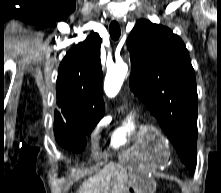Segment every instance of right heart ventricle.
Segmentation results:
<instances>
[{
	"label": "right heart ventricle",
	"instance_id": "obj_1",
	"mask_svg": "<svg viewBox=\"0 0 221 193\" xmlns=\"http://www.w3.org/2000/svg\"><path fill=\"white\" fill-rule=\"evenodd\" d=\"M138 130L139 124L134 114L127 115L113 134L111 146L116 149L129 146L136 139Z\"/></svg>",
	"mask_w": 221,
	"mask_h": 193
}]
</instances>
